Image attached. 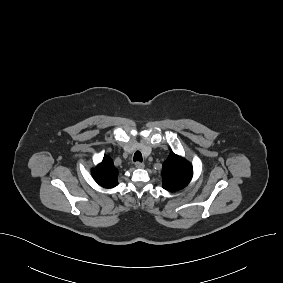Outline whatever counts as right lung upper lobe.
I'll use <instances>...</instances> for the list:
<instances>
[{
	"mask_svg": "<svg viewBox=\"0 0 283 283\" xmlns=\"http://www.w3.org/2000/svg\"><path fill=\"white\" fill-rule=\"evenodd\" d=\"M92 174L95 181L105 188H113L118 184V172L114 168L113 161L108 156H104L103 161L98 164Z\"/></svg>",
	"mask_w": 283,
	"mask_h": 283,
	"instance_id": "1",
	"label": "right lung upper lobe"
}]
</instances>
